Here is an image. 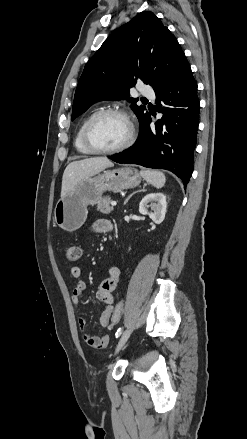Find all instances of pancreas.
<instances>
[{"label":"pancreas","instance_id":"obj_1","mask_svg":"<svg viewBox=\"0 0 247 439\" xmlns=\"http://www.w3.org/2000/svg\"><path fill=\"white\" fill-rule=\"evenodd\" d=\"M111 198L106 196L102 198L97 205V210L103 214H109L113 211V207L110 206Z\"/></svg>","mask_w":247,"mask_h":439}]
</instances>
